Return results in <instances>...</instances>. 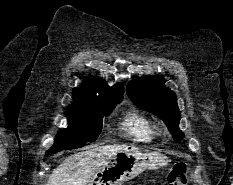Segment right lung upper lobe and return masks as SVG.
Instances as JSON below:
<instances>
[{
	"label": "right lung upper lobe",
	"mask_w": 233,
	"mask_h": 185,
	"mask_svg": "<svg viewBox=\"0 0 233 185\" xmlns=\"http://www.w3.org/2000/svg\"><path fill=\"white\" fill-rule=\"evenodd\" d=\"M124 88L122 84L109 87L99 78L88 77L80 88L73 90L72 106H93L103 102L121 101Z\"/></svg>",
	"instance_id": "cb5924a9"
}]
</instances>
